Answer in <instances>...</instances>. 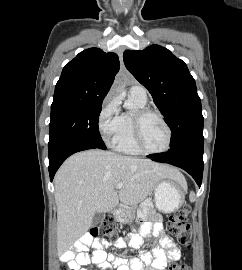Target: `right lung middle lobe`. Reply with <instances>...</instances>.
<instances>
[{"label":"right lung middle lobe","mask_w":242,"mask_h":270,"mask_svg":"<svg viewBox=\"0 0 242 270\" xmlns=\"http://www.w3.org/2000/svg\"><path fill=\"white\" fill-rule=\"evenodd\" d=\"M102 103L51 106L49 153L69 143L87 142L106 147L98 129Z\"/></svg>","instance_id":"dd1d6c3e"}]
</instances>
